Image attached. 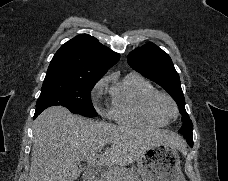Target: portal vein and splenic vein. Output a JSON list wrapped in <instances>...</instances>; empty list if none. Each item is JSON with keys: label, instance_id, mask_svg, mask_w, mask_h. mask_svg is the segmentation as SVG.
<instances>
[{"label": "portal vein and splenic vein", "instance_id": "obj_1", "mask_svg": "<svg viewBox=\"0 0 228 181\" xmlns=\"http://www.w3.org/2000/svg\"><path fill=\"white\" fill-rule=\"evenodd\" d=\"M86 165H88V167H95L99 173H104L105 171L103 165H98L97 157H90V159H87ZM107 179H109V177H107Z\"/></svg>", "mask_w": 228, "mask_h": 181}]
</instances>
